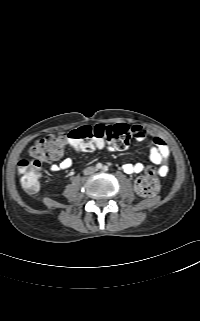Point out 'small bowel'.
<instances>
[{
	"label": "small bowel",
	"instance_id": "c3829d8e",
	"mask_svg": "<svg viewBox=\"0 0 200 321\" xmlns=\"http://www.w3.org/2000/svg\"><path fill=\"white\" fill-rule=\"evenodd\" d=\"M118 125H124V124H118ZM129 128L132 131L133 137L137 141H144L146 139L151 140L152 147L150 149L149 159L153 164L158 166L157 171L160 176L167 175L169 170L167 160H168L170 151L165 141L160 136L154 134L151 130L143 128L142 126L134 125ZM108 146L110 148H115V146L111 143H108ZM62 154H63V150L58 156L52 158L50 161L59 160L62 157ZM71 166H72V160L70 158H63L60 160L59 163L51 164L50 171L58 172L61 170H67ZM122 169L126 174H138L144 171L145 165L142 162L125 163L122 166Z\"/></svg>",
	"mask_w": 200,
	"mask_h": 321
}]
</instances>
